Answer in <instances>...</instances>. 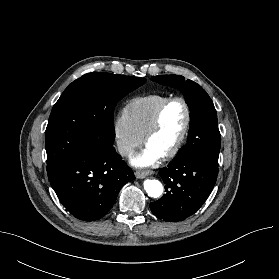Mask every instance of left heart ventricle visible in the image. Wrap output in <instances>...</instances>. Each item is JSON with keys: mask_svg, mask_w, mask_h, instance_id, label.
I'll list each match as a JSON object with an SVG mask.
<instances>
[{"mask_svg": "<svg viewBox=\"0 0 279 279\" xmlns=\"http://www.w3.org/2000/svg\"><path fill=\"white\" fill-rule=\"evenodd\" d=\"M186 119L183 104L179 101L171 103L163 113L159 129L151 136L148 147L160 156L168 152L179 139Z\"/></svg>", "mask_w": 279, "mask_h": 279, "instance_id": "left-heart-ventricle-1", "label": "left heart ventricle"}]
</instances>
